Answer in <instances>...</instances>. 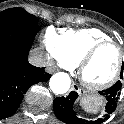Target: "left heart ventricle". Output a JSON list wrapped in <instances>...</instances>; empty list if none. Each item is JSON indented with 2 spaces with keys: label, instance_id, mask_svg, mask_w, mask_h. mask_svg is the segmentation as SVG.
Returning a JSON list of instances; mask_svg holds the SVG:
<instances>
[{
  "label": "left heart ventricle",
  "instance_id": "1",
  "mask_svg": "<svg viewBox=\"0 0 124 124\" xmlns=\"http://www.w3.org/2000/svg\"><path fill=\"white\" fill-rule=\"evenodd\" d=\"M119 54L115 46H106L98 51L86 66L83 76L88 82L99 84L109 80L118 65Z\"/></svg>",
  "mask_w": 124,
  "mask_h": 124
}]
</instances>
